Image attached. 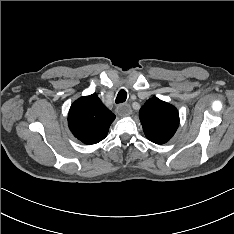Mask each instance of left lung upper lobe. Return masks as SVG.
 <instances>
[{
    "label": "left lung upper lobe",
    "mask_w": 234,
    "mask_h": 234,
    "mask_svg": "<svg viewBox=\"0 0 234 234\" xmlns=\"http://www.w3.org/2000/svg\"><path fill=\"white\" fill-rule=\"evenodd\" d=\"M139 117L146 137L157 144L169 141L179 126L177 109L157 97L146 101Z\"/></svg>",
    "instance_id": "left-lung-upper-lobe-1"
}]
</instances>
